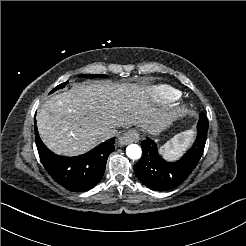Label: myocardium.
I'll return each mask as SVG.
<instances>
[{"instance_id":"myocardium-1","label":"myocardium","mask_w":246,"mask_h":246,"mask_svg":"<svg viewBox=\"0 0 246 246\" xmlns=\"http://www.w3.org/2000/svg\"><path fill=\"white\" fill-rule=\"evenodd\" d=\"M179 112H180V108L179 107L174 108V109L168 111L164 115V118H163L164 122L171 121L177 115V113H179Z\"/></svg>"}]
</instances>
